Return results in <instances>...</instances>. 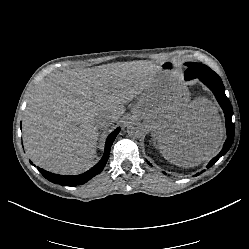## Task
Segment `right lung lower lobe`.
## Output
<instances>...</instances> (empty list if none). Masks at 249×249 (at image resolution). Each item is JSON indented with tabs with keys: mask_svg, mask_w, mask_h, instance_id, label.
Returning a JSON list of instances; mask_svg holds the SVG:
<instances>
[{
	"mask_svg": "<svg viewBox=\"0 0 249 249\" xmlns=\"http://www.w3.org/2000/svg\"><path fill=\"white\" fill-rule=\"evenodd\" d=\"M119 131H120V128H117L115 131H113L108 136L106 143H105V151H104V155L102 159L88 172H85L83 174L76 175V176H68V175L53 174L41 168H38V170L42 173V175L46 179H48L49 181L55 184H60L62 186H72V187L77 186V185H82L86 183L87 181H89L91 178H93L95 175L99 174L103 170L109 158L111 145L113 141L115 140L116 136L118 135Z\"/></svg>",
	"mask_w": 249,
	"mask_h": 249,
	"instance_id": "right-lung-lower-lobe-1",
	"label": "right lung lower lobe"
}]
</instances>
